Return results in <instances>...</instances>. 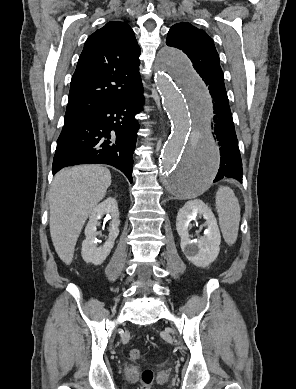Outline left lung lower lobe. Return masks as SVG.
<instances>
[{
	"label": "left lung lower lobe",
	"instance_id": "left-lung-lower-lobe-1",
	"mask_svg": "<svg viewBox=\"0 0 296 389\" xmlns=\"http://www.w3.org/2000/svg\"><path fill=\"white\" fill-rule=\"evenodd\" d=\"M210 95L213 98V116L211 118V130L215 139L220 146V168L214 182L222 178H234L242 183V161L238 147V140L235 133L232 114L230 111L227 92L224 85V76L218 74L211 77L202 76ZM189 159L183 166L181 178L189 175Z\"/></svg>",
	"mask_w": 296,
	"mask_h": 389
}]
</instances>
